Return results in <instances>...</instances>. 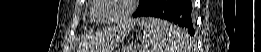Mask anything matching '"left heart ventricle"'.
Returning a JSON list of instances; mask_svg holds the SVG:
<instances>
[{
  "mask_svg": "<svg viewBox=\"0 0 261 52\" xmlns=\"http://www.w3.org/2000/svg\"><path fill=\"white\" fill-rule=\"evenodd\" d=\"M104 5L98 11L97 17L103 21L117 18L125 9V0H103Z\"/></svg>",
  "mask_w": 261,
  "mask_h": 52,
  "instance_id": "1",
  "label": "left heart ventricle"
}]
</instances>
